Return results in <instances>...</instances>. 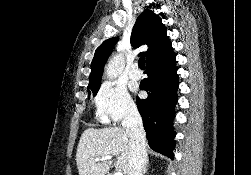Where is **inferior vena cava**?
I'll return each instance as SVG.
<instances>
[{
	"mask_svg": "<svg viewBox=\"0 0 251 175\" xmlns=\"http://www.w3.org/2000/svg\"><path fill=\"white\" fill-rule=\"evenodd\" d=\"M122 125L130 137L129 167L126 171V175H142L143 167H145L147 163V141L142 117L137 107H133V105L126 107Z\"/></svg>",
	"mask_w": 251,
	"mask_h": 175,
	"instance_id": "1",
	"label": "inferior vena cava"
}]
</instances>
